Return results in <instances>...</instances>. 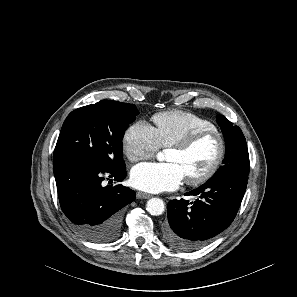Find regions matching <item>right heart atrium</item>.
Segmentation results:
<instances>
[{"mask_svg": "<svg viewBox=\"0 0 297 297\" xmlns=\"http://www.w3.org/2000/svg\"><path fill=\"white\" fill-rule=\"evenodd\" d=\"M122 146L125 155L132 162L148 159L160 148L154 127L143 120L136 121L127 128Z\"/></svg>", "mask_w": 297, "mask_h": 297, "instance_id": "obj_1", "label": "right heart atrium"}]
</instances>
